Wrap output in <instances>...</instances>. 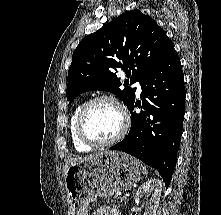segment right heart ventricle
I'll use <instances>...</instances> for the list:
<instances>
[{"label":"right heart ventricle","instance_id":"e07e8e85","mask_svg":"<svg viewBox=\"0 0 221 215\" xmlns=\"http://www.w3.org/2000/svg\"><path fill=\"white\" fill-rule=\"evenodd\" d=\"M81 106L82 104H78L71 114L69 121V132L75 150L78 152H89L93 147L81 142L76 134V117Z\"/></svg>","mask_w":221,"mask_h":215}]
</instances>
